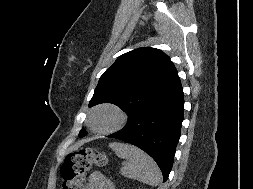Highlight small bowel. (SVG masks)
<instances>
[{"mask_svg":"<svg viewBox=\"0 0 253 189\" xmlns=\"http://www.w3.org/2000/svg\"><path fill=\"white\" fill-rule=\"evenodd\" d=\"M86 189H114V185L102 172L95 171L90 174Z\"/></svg>","mask_w":253,"mask_h":189,"instance_id":"1","label":"small bowel"}]
</instances>
